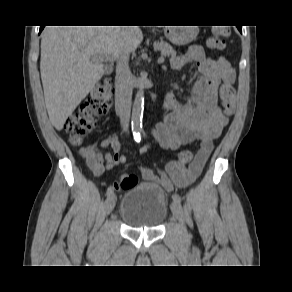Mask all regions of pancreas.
<instances>
[{
  "instance_id": "1",
  "label": "pancreas",
  "mask_w": 292,
  "mask_h": 292,
  "mask_svg": "<svg viewBox=\"0 0 292 292\" xmlns=\"http://www.w3.org/2000/svg\"><path fill=\"white\" fill-rule=\"evenodd\" d=\"M154 49L159 50L162 56H171L172 58L176 57V51L165 41L155 42Z\"/></svg>"
}]
</instances>
